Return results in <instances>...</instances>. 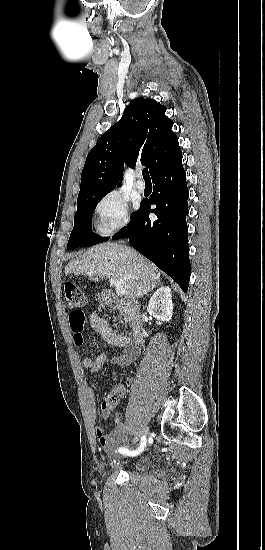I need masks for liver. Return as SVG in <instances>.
Wrapping results in <instances>:
<instances>
[{
  "instance_id": "1",
  "label": "liver",
  "mask_w": 265,
  "mask_h": 550,
  "mask_svg": "<svg viewBox=\"0 0 265 550\" xmlns=\"http://www.w3.org/2000/svg\"><path fill=\"white\" fill-rule=\"evenodd\" d=\"M92 272L93 274H89ZM81 274L99 282L112 278L122 283L125 296L138 299L160 284V270L130 247L102 243L77 255L65 267V274Z\"/></svg>"
}]
</instances>
